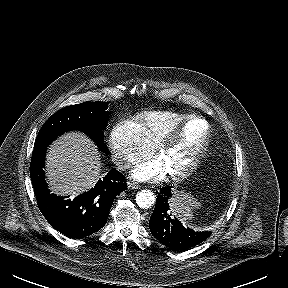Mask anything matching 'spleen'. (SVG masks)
<instances>
[{"label":"spleen","mask_w":288,"mask_h":288,"mask_svg":"<svg viewBox=\"0 0 288 288\" xmlns=\"http://www.w3.org/2000/svg\"><path fill=\"white\" fill-rule=\"evenodd\" d=\"M198 206L199 203L187 193H177L171 199V212L177 215L182 223L193 219V208Z\"/></svg>","instance_id":"obj_1"}]
</instances>
